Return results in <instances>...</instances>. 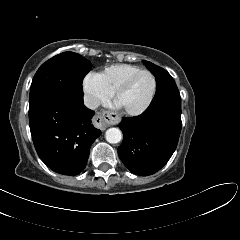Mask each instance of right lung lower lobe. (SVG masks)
I'll return each mask as SVG.
<instances>
[{"instance_id":"obj_1","label":"right lung lower lobe","mask_w":240,"mask_h":240,"mask_svg":"<svg viewBox=\"0 0 240 240\" xmlns=\"http://www.w3.org/2000/svg\"><path fill=\"white\" fill-rule=\"evenodd\" d=\"M83 96L54 95L29 109V124L40 159L53 171L77 175L86 166L91 144L101 131Z\"/></svg>"}]
</instances>
